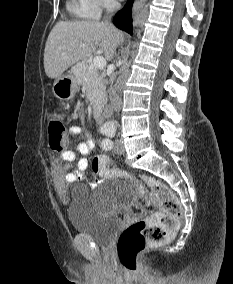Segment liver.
<instances>
[{
  "instance_id": "6515ba94",
  "label": "liver",
  "mask_w": 233,
  "mask_h": 284,
  "mask_svg": "<svg viewBox=\"0 0 233 284\" xmlns=\"http://www.w3.org/2000/svg\"><path fill=\"white\" fill-rule=\"evenodd\" d=\"M124 34L112 24L98 21H59L50 32L45 45L44 69L53 79L69 67L87 59L99 47L110 60Z\"/></svg>"
}]
</instances>
